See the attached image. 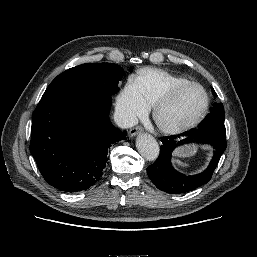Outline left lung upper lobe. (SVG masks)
I'll return each mask as SVG.
<instances>
[{"mask_svg": "<svg viewBox=\"0 0 257 257\" xmlns=\"http://www.w3.org/2000/svg\"><path fill=\"white\" fill-rule=\"evenodd\" d=\"M212 93L214 96L217 95L213 88ZM224 118L225 113L223 104L216 103L209 116L202 122L200 129L217 133H226Z\"/></svg>", "mask_w": 257, "mask_h": 257, "instance_id": "left-lung-upper-lobe-1", "label": "left lung upper lobe"}]
</instances>
